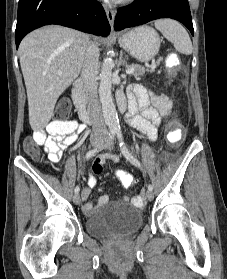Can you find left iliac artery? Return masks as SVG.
<instances>
[{
	"mask_svg": "<svg viewBox=\"0 0 227 279\" xmlns=\"http://www.w3.org/2000/svg\"><path fill=\"white\" fill-rule=\"evenodd\" d=\"M116 134H117V138L119 140V145H120V149L121 152L123 153V155L135 166L137 167H141V164L139 162V160L134 157L130 151L128 150L127 146L124 143L123 140V135L120 129L116 130ZM148 190L152 191L153 190V186L151 184L148 185Z\"/></svg>",
	"mask_w": 227,
	"mask_h": 279,
	"instance_id": "44dca946",
	"label": "left iliac artery"
}]
</instances>
